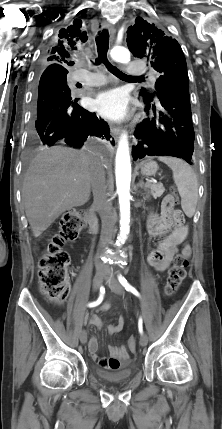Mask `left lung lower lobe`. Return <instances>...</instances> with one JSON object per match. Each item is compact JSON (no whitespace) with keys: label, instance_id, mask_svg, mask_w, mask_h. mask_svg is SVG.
I'll return each instance as SVG.
<instances>
[{"label":"left lung lower lobe","instance_id":"1","mask_svg":"<svg viewBox=\"0 0 222 429\" xmlns=\"http://www.w3.org/2000/svg\"><path fill=\"white\" fill-rule=\"evenodd\" d=\"M145 111H151L136 128L138 144L132 147L136 160L144 156H173L192 164L194 128L189 87L168 81L154 100L144 99Z\"/></svg>","mask_w":222,"mask_h":429}]
</instances>
